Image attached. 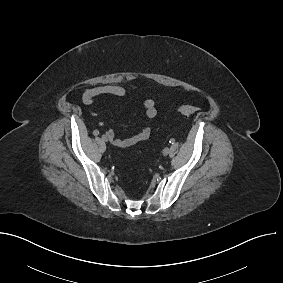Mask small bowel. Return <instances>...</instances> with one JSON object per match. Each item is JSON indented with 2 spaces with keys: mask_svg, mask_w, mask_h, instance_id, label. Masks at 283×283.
Masks as SVG:
<instances>
[{
  "mask_svg": "<svg viewBox=\"0 0 283 283\" xmlns=\"http://www.w3.org/2000/svg\"><path fill=\"white\" fill-rule=\"evenodd\" d=\"M126 94V90L118 85H102L92 88H87L83 92L82 101L85 105H91L96 98L103 95H110L114 97H123ZM145 109L146 117L149 120H153L157 116V108L155 101L153 99H145L143 102ZM109 140L119 148H127L134 146L142 141L147 140L151 135V128L149 125L143 127L138 133L126 137V138H117L113 130H108L106 132Z\"/></svg>",
  "mask_w": 283,
  "mask_h": 283,
  "instance_id": "1",
  "label": "small bowel"
}]
</instances>
